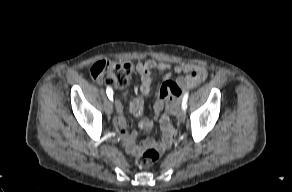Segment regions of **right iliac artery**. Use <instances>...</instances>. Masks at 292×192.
<instances>
[{
	"mask_svg": "<svg viewBox=\"0 0 292 192\" xmlns=\"http://www.w3.org/2000/svg\"><path fill=\"white\" fill-rule=\"evenodd\" d=\"M106 93H107V96L109 97V99L113 100V90L111 87L106 88Z\"/></svg>",
	"mask_w": 292,
	"mask_h": 192,
	"instance_id": "82829eb1",
	"label": "right iliac artery"
}]
</instances>
